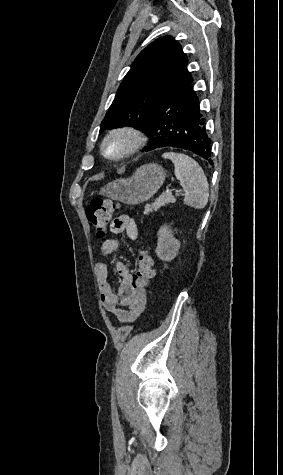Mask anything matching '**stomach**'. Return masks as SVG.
I'll list each match as a JSON object with an SVG mask.
<instances>
[{"instance_id":"obj_1","label":"stomach","mask_w":283,"mask_h":475,"mask_svg":"<svg viewBox=\"0 0 283 475\" xmlns=\"http://www.w3.org/2000/svg\"><path fill=\"white\" fill-rule=\"evenodd\" d=\"M166 178L165 170L159 164H144L137 168L131 178L114 180L101 188V196L118 200L123 204H142L158 192Z\"/></svg>"}]
</instances>
